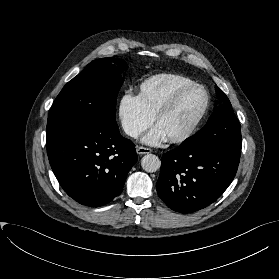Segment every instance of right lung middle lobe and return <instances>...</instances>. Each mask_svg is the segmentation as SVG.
Returning a JSON list of instances; mask_svg holds the SVG:
<instances>
[{"instance_id": "right-lung-middle-lobe-1", "label": "right lung middle lobe", "mask_w": 279, "mask_h": 279, "mask_svg": "<svg viewBox=\"0 0 279 279\" xmlns=\"http://www.w3.org/2000/svg\"><path fill=\"white\" fill-rule=\"evenodd\" d=\"M122 59L101 58L89 63L56 97L47 121L46 139L75 127L97 122L115 123L116 99L127 70Z\"/></svg>"}]
</instances>
